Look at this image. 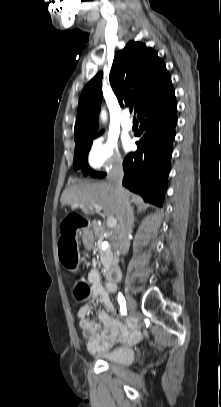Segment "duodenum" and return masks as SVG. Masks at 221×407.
<instances>
[{
  "mask_svg": "<svg viewBox=\"0 0 221 407\" xmlns=\"http://www.w3.org/2000/svg\"><path fill=\"white\" fill-rule=\"evenodd\" d=\"M106 277L111 282H118L121 278L120 268L116 265L110 266L107 270Z\"/></svg>",
  "mask_w": 221,
  "mask_h": 407,
  "instance_id": "410a0bca",
  "label": "duodenum"
}]
</instances>
